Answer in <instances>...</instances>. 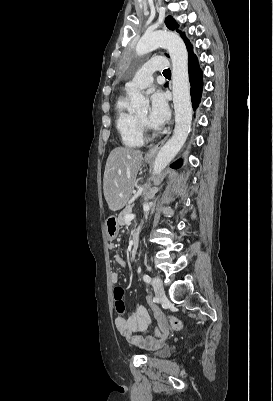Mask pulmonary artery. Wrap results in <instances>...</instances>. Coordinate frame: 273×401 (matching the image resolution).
Listing matches in <instances>:
<instances>
[{
	"instance_id": "1",
	"label": "pulmonary artery",
	"mask_w": 273,
	"mask_h": 401,
	"mask_svg": "<svg viewBox=\"0 0 273 401\" xmlns=\"http://www.w3.org/2000/svg\"><path fill=\"white\" fill-rule=\"evenodd\" d=\"M169 60L166 57H151L149 63H145L143 68L138 70V86L140 89H147L149 83H152L154 80L153 72H159L161 69H165V66L168 65ZM130 86H133V83H130ZM128 91H131V88H128Z\"/></svg>"
}]
</instances>
